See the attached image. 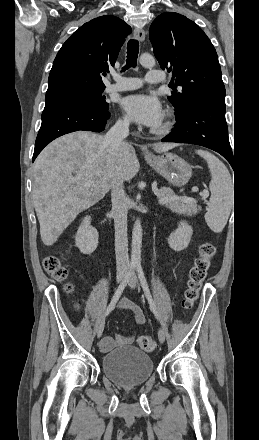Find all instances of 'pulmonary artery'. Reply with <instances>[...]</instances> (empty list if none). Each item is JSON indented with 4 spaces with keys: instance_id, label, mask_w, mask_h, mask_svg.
Returning a JSON list of instances; mask_svg holds the SVG:
<instances>
[{
    "instance_id": "1",
    "label": "pulmonary artery",
    "mask_w": 259,
    "mask_h": 440,
    "mask_svg": "<svg viewBox=\"0 0 259 440\" xmlns=\"http://www.w3.org/2000/svg\"><path fill=\"white\" fill-rule=\"evenodd\" d=\"M115 82L109 84L106 88L107 91H127L134 90L142 85V80L136 77H124L120 75H114ZM165 80L164 75L157 70L148 71L145 81L150 84L161 83Z\"/></svg>"
}]
</instances>
